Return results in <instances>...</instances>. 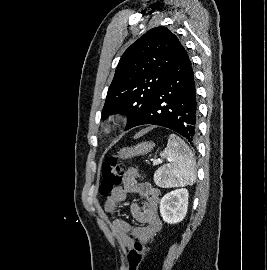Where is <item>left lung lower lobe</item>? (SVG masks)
I'll return each mask as SVG.
<instances>
[{"label": "left lung lower lobe", "instance_id": "0a47b994", "mask_svg": "<svg viewBox=\"0 0 267 270\" xmlns=\"http://www.w3.org/2000/svg\"><path fill=\"white\" fill-rule=\"evenodd\" d=\"M197 114L193 69L181 45L162 86L134 127L144 124L163 126L177 132L193 146Z\"/></svg>", "mask_w": 267, "mask_h": 270}]
</instances>
